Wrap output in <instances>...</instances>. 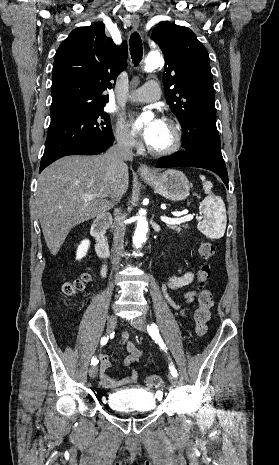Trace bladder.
I'll list each match as a JSON object with an SVG mask.
<instances>
[{
    "label": "bladder",
    "instance_id": "bladder-1",
    "mask_svg": "<svg viewBox=\"0 0 279 465\" xmlns=\"http://www.w3.org/2000/svg\"><path fill=\"white\" fill-rule=\"evenodd\" d=\"M110 408L119 412L149 413L155 410L157 400L150 391L126 388L111 392L106 398Z\"/></svg>",
    "mask_w": 279,
    "mask_h": 465
}]
</instances>
